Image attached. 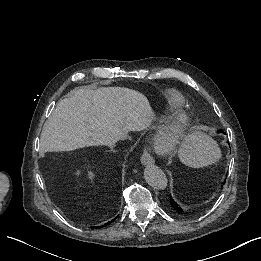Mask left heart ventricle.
Segmentation results:
<instances>
[{
    "label": "left heart ventricle",
    "mask_w": 261,
    "mask_h": 261,
    "mask_svg": "<svg viewBox=\"0 0 261 261\" xmlns=\"http://www.w3.org/2000/svg\"><path fill=\"white\" fill-rule=\"evenodd\" d=\"M176 132L172 124H160L155 130L151 144L154 147H168L175 141Z\"/></svg>",
    "instance_id": "left-heart-ventricle-1"
}]
</instances>
